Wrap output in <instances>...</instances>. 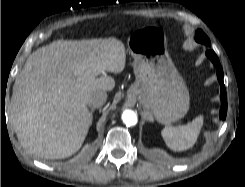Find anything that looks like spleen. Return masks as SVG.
Returning <instances> with one entry per match:
<instances>
[{
	"label": "spleen",
	"instance_id": "obj_1",
	"mask_svg": "<svg viewBox=\"0 0 245 187\" xmlns=\"http://www.w3.org/2000/svg\"><path fill=\"white\" fill-rule=\"evenodd\" d=\"M203 121L204 117L199 115L186 125L166 126L161 131L166 145L173 151H184L191 148L197 141Z\"/></svg>",
	"mask_w": 245,
	"mask_h": 187
}]
</instances>
